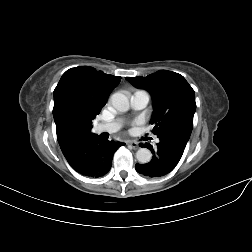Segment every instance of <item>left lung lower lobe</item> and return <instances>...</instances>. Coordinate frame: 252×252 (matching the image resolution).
Instances as JSON below:
<instances>
[{
    "instance_id": "left-lung-lower-lobe-1",
    "label": "left lung lower lobe",
    "mask_w": 252,
    "mask_h": 252,
    "mask_svg": "<svg viewBox=\"0 0 252 252\" xmlns=\"http://www.w3.org/2000/svg\"><path fill=\"white\" fill-rule=\"evenodd\" d=\"M157 147L146 143L153 158L146 164H136V171L146 177H161L170 173L180 161L189 139L180 135H163L158 137Z\"/></svg>"
}]
</instances>
